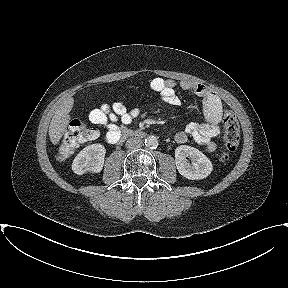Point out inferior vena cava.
<instances>
[{
	"mask_svg": "<svg viewBox=\"0 0 288 288\" xmlns=\"http://www.w3.org/2000/svg\"><path fill=\"white\" fill-rule=\"evenodd\" d=\"M142 144V140L138 137H131L126 141V147L129 149H135L140 147Z\"/></svg>",
	"mask_w": 288,
	"mask_h": 288,
	"instance_id": "602c4592",
	"label": "inferior vena cava"
}]
</instances>
